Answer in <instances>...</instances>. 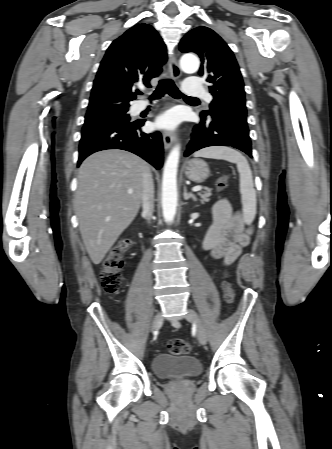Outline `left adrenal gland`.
<instances>
[{"label": "left adrenal gland", "mask_w": 332, "mask_h": 449, "mask_svg": "<svg viewBox=\"0 0 332 449\" xmlns=\"http://www.w3.org/2000/svg\"><path fill=\"white\" fill-rule=\"evenodd\" d=\"M183 197H184L185 200H188L190 198H192L194 201L197 200L196 196L193 193H188L187 192V187L186 186H184Z\"/></svg>", "instance_id": "obj_1"}]
</instances>
